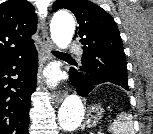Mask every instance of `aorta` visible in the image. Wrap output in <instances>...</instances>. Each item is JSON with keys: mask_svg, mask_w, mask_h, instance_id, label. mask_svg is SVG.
<instances>
[{"mask_svg": "<svg viewBox=\"0 0 153 134\" xmlns=\"http://www.w3.org/2000/svg\"><path fill=\"white\" fill-rule=\"evenodd\" d=\"M51 38L61 49L66 48L72 40L75 31V21L68 13H58L51 22ZM84 117V106L79 96L66 97L58 111V122L62 130H75Z\"/></svg>", "mask_w": 153, "mask_h": 134, "instance_id": "762f6f07", "label": "aorta"}]
</instances>
